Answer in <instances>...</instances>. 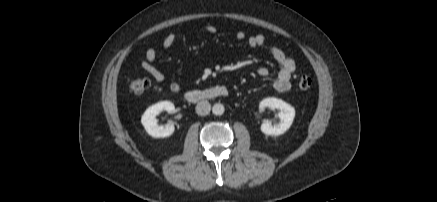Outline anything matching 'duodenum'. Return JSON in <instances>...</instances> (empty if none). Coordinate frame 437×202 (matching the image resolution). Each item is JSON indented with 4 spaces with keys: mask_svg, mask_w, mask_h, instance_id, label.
Returning <instances> with one entry per match:
<instances>
[{
    "mask_svg": "<svg viewBox=\"0 0 437 202\" xmlns=\"http://www.w3.org/2000/svg\"><path fill=\"white\" fill-rule=\"evenodd\" d=\"M228 89L225 86L218 85L206 89H194L185 93V98L190 102H201L219 97L228 96Z\"/></svg>",
    "mask_w": 437,
    "mask_h": 202,
    "instance_id": "duodenum-1",
    "label": "duodenum"
}]
</instances>
